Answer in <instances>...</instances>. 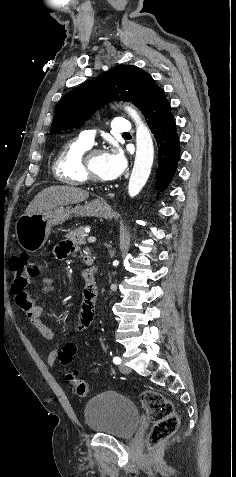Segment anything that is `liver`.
I'll list each match as a JSON object with an SVG mask.
<instances>
[{"label": "liver", "mask_w": 236, "mask_h": 477, "mask_svg": "<svg viewBox=\"0 0 236 477\" xmlns=\"http://www.w3.org/2000/svg\"><path fill=\"white\" fill-rule=\"evenodd\" d=\"M89 193L72 186H50L39 192L25 210V214H41L52 208L86 200Z\"/></svg>", "instance_id": "liver-1"}]
</instances>
